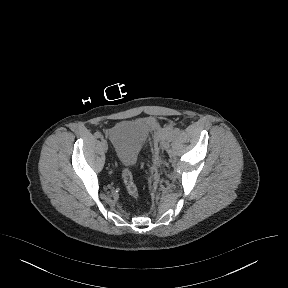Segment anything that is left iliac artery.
<instances>
[{"label":"left iliac artery","mask_w":288,"mask_h":288,"mask_svg":"<svg viewBox=\"0 0 288 288\" xmlns=\"http://www.w3.org/2000/svg\"><path fill=\"white\" fill-rule=\"evenodd\" d=\"M176 133H178V129H175V130L172 132V134H176Z\"/></svg>","instance_id":"1"}]
</instances>
